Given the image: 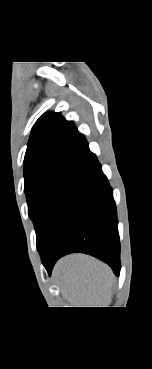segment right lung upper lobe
Listing matches in <instances>:
<instances>
[{"label":"right lung upper lobe","mask_w":152,"mask_h":369,"mask_svg":"<svg viewBox=\"0 0 152 369\" xmlns=\"http://www.w3.org/2000/svg\"><path fill=\"white\" fill-rule=\"evenodd\" d=\"M90 154L85 137L72 121L60 113H45L33 126L24 158V175L41 167L81 164Z\"/></svg>","instance_id":"obj_1"}]
</instances>
